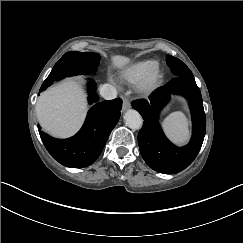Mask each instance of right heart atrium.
Segmentation results:
<instances>
[{
    "mask_svg": "<svg viewBox=\"0 0 243 243\" xmlns=\"http://www.w3.org/2000/svg\"><path fill=\"white\" fill-rule=\"evenodd\" d=\"M106 78L116 89L120 88V82L113 73L108 72Z\"/></svg>",
    "mask_w": 243,
    "mask_h": 243,
    "instance_id": "1",
    "label": "right heart atrium"
}]
</instances>
